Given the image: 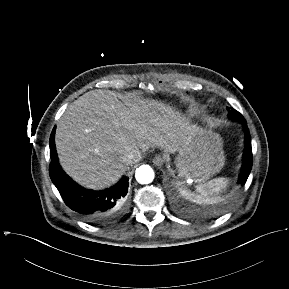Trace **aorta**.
I'll list each match as a JSON object with an SVG mask.
<instances>
[{"label": "aorta", "mask_w": 289, "mask_h": 289, "mask_svg": "<svg viewBox=\"0 0 289 289\" xmlns=\"http://www.w3.org/2000/svg\"><path fill=\"white\" fill-rule=\"evenodd\" d=\"M135 178L140 184H149L154 179V171L149 165H142L136 169Z\"/></svg>", "instance_id": "aorta-1"}]
</instances>
